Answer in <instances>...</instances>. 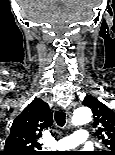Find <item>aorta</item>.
Wrapping results in <instances>:
<instances>
[{
    "instance_id": "762f6f07",
    "label": "aorta",
    "mask_w": 115,
    "mask_h": 155,
    "mask_svg": "<svg viewBox=\"0 0 115 155\" xmlns=\"http://www.w3.org/2000/svg\"><path fill=\"white\" fill-rule=\"evenodd\" d=\"M92 119L91 109L88 107H81L74 112L71 123L75 126L89 123Z\"/></svg>"
}]
</instances>
